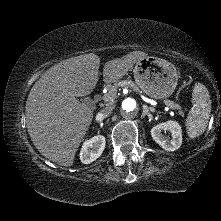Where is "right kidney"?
<instances>
[{
    "label": "right kidney",
    "mask_w": 221,
    "mask_h": 221,
    "mask_svg": "<svg viewBox=\"0 0 221 221\" xmlns=\"http://www.w3.org/2000/svg\"><path fill=\"white\" fill-rule=\"evenodd\" d=\"M105 137L97 135L83 143L80 151V160L84 164H90L99 158L105 148Z\"/></svg>",
    "instance_id": "1"
}]
</instances>
